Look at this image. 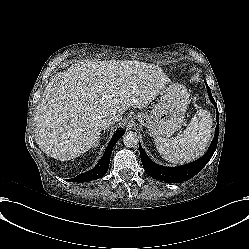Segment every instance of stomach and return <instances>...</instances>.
I'll return each instance as SVG.
<instances>
[{"mask_svg": "<svg viewBox=\"0 0 249 249\" xmlns=\"http://www.w3.org/2000/svg\"><path fill=\"white\" fill-rule=\"evenodd\" d=\"M188 104L186 88L170 85L160 91V99L152 110L138 113L135 117L150 136H168L181 128Z\"/></svg>", "mask_w": 249, "mask_h": 249, "instance_id": "stomach-1", "label": "stomach"}]
</instances>
